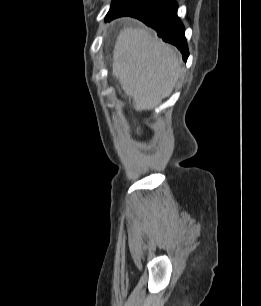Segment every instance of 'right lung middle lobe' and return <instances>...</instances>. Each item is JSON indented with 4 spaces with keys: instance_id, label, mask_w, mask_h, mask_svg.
<instances>
[{
    "instance_id": "1",
    "label": "right lung middle lobe",
    "mask_w": 261,
    "mask_h": 306,
    "mask_svg": "<svg viewBox=\"0 0 261 306\" xmlns=\"http://www.w3.org/2000/svg\"><path fill=\"white\" fill-rule=\"evenodd\" d=\"M131 0H113L111 8L108 13L116 11L120 9L121 7L125 6L127 3H129Z\"/></svg>"
}]
</instances>
